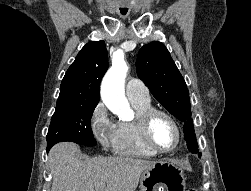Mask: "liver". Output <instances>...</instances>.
I'll return each mask as SVG.
<instances>
[{"label": "liver", "mask_w": 251, "mask_h": 191, "mask_svg": "<svg viewBox=\"0 0 251 191\" xmlns=\"http://www.w3.org/2000/svg\"><path fill=\"white\" fill-rule=\"evenodd\" d=\"M78 151L77 143L72 141H61L51 147V191H135L141 173L155 163L123 155L80 159ZM100 185H104L103 189Z\"/></svg>", "instance_id": "obj_1"}]
</instances>
